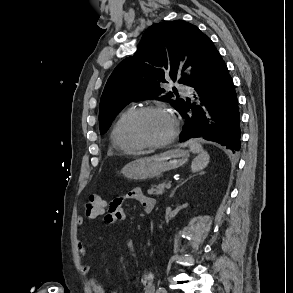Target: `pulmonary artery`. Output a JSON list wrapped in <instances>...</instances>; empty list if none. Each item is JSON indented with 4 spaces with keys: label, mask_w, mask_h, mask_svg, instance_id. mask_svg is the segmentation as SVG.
Returning a JSON list of instances; mask_svg holds the SVG:
<instances>
[{
    "label": "pulmonary artery",
    "mask_w": 293,
    "mask_h": 293,
    "mask_svg": "<svg viewBox=\"0 0 293 293\" xmlns=\"http://www.w3.org/2000/svg\"><path fill=\"white\" fill-rule=\"evenodd\" d=\"M178 88L180 89V91L183 93V94H186V95H189L191 92H190V89L188 87H185V86H178Z\"/></svg>",
    "instance_id": "obj_1"
}]
</instances>
